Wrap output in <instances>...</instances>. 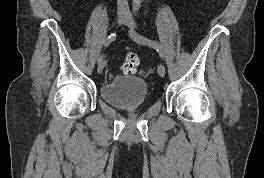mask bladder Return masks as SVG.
<instances>
[{
  "mask_svg": "<svg viewBox=\"0 0 264 178\" xmlns=\"http://www.w3.org/2000/svg\"><path fill=\"white\" fill-rule=\"evenodd\" d=\"M101 97L109 105L117 108H133L145 103L149 90L142 77L131 74L116 75L101 87Z\"/></svg>",
  "mask_w": 264,
  "mask_h": 178,
  "instance_id": "obj_1",
  "label": "bladder"
}]
</instances>
